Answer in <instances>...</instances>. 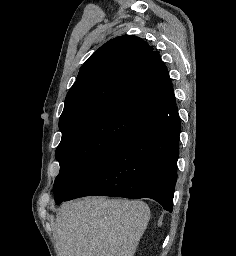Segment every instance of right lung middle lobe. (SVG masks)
Listing matches in <instances>:
<instances>
[{
    "instance_id": "1",
    "label": "right lung middle lobe",
    "mask_w": 236,
    "mask_h": 256,
    "mask_svg": "<svg viewBox=\"0 0 236 256\" xmlns=\"http://www.w3.org/2000/svg\"><path fill=\"white\" fill-rule=\"evenodd\" d=\"M145 121L126 111L110 112L62 130L56 149L60 172L54 183L55 201L65 199L113 150Z\"/></svg>"
}]
</instances>
